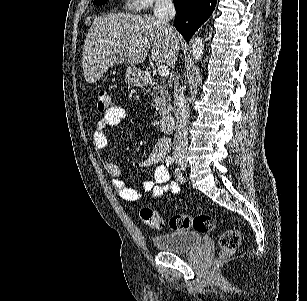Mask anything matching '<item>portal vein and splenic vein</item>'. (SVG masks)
<instances>
[{
    "label": "portal vein and splenic vein",
    "mask_w": 307,
    "mask_h": 301,
    "mask_svg": "<svg viewBox=\"0 0 307 301\" xmlns=\"http://www.w3.org/2000/svg\"><path fill=\"white\" fill-rule=\"evenodd\" d=\"M158 72L160 76H169L170 68H168V66H165V64H158Z\"/></svg>",
    "instance_id": "18ae733b"
}]
</instances>
